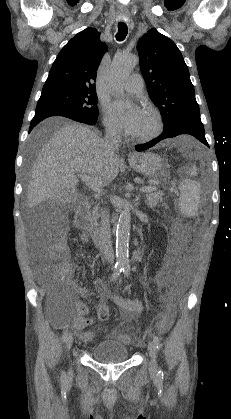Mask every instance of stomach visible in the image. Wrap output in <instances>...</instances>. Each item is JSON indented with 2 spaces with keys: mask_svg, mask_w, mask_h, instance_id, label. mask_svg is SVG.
Listing matches in <instances>:
<instances>
[{
  "mask_svg": "<svg viewBox=\"0 0 231 419\" xmlns=\"http://www.w3.org/2000/svg\"><path fill=\"white\" fill-rule=\"evenodd\" d=\"M129 164L136 172L150 179L162 178L163 159L156 153H136L129 158Z\"/></svg>",
  "mask_w": 231,
  "mask_h": 419,
  "instance_id": "obj_1",
  "label": "stomach"
}]
</instances>
